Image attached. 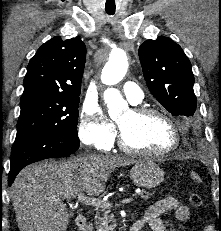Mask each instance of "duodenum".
<instances>
[{
	"instance_id": "duodenum-1",
	"label": "duodenum",
	"mask_w": 221,
	"mask_h": 231,
	"mask_svg": "<svg viewBox=\"0 0 221 231\" xmlns=\"http://www.w3.org/2000/svg\"><path fill=\"white\" fill-rule=\"evenodd\" d=\"M75 223L77 228L80 231H85L86 227H87V218L85 215L83 214H79L76 216L75 218ZM128 231H141L140 230V226L138 225V222L134 223L129 229Z\"/></svg>"
}]
</instances>
